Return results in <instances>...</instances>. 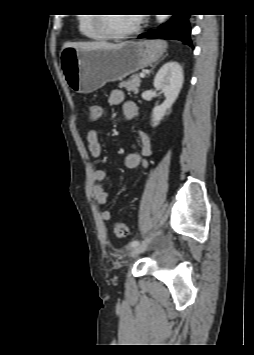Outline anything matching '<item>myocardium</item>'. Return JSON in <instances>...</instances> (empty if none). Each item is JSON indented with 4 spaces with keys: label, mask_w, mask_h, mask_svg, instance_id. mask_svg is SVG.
<instances>
[{
    "label": "myocardium",
    "mask_w": 254,
    "mask_h": 355,
    "mask_svg": "<svg viewBox=\"0 0 254 355\" xmlns=\"http://www.w3.org/2000/svg\"><path fill=\"white\" fill-rule=\"evenodd\" d=\"M101 15H104V14H101ZM106 19L107 18L104 16L95 17V27H96L97 31L99 32V34L105 39L123 40V39L129 38V37L135 35L140 29V23L137 21L133 28H131L125 32L113 33L108 29L107 24H106Z\"/></svg>",
    "instance_id": "myocardium-1"
}]
</instances>
